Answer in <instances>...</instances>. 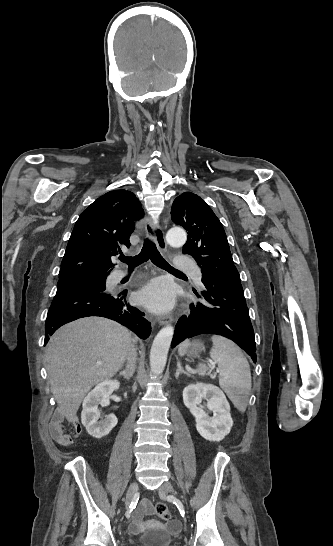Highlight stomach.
I'll list each match as a JSON object with an SVG mask.
<instances>
[{"label": "stomach", "mask_w": 333, "mask_h": 546, "mask_svg": "<svg viewBox=\"0 0 333 546\" xmlns=\"http://www.w3.org/2000/svg\"><path fill=\"white\" fill-rule=\"evenodd\" d=\"M204 347H203V344L199 341H194L190 344L189 348L186 350L185 353L189 354V355H195L197 354L199 351L203 350Z\"/></svg>", "instance_id": "0dacf381"}]
</instances>
